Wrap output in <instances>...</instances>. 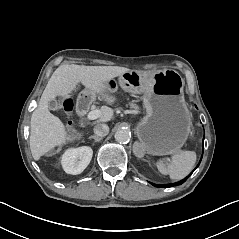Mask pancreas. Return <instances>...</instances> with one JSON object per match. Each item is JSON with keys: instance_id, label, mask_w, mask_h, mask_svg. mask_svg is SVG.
<instances>
[{"instance_id": "obj_1", "label": "pancreas", "mask_w": 239, "mask_h": 239, "mask_svg": "<svg viewBox=\"0 0 239 239\" xmlns=\"http://www.w3.org/2000/svg\"><path fill=\"white\" fill-rule=\"evenodd\" d=\"M129 107L132 108V109H135V110L139 109L138 105L135 104V103H132V102L129 103Z\"/></svg>"}]
</instances>
